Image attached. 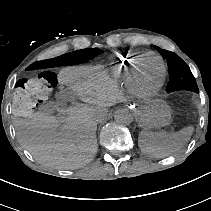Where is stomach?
Masks as SVG:
<instances>
[{
  "instance_id": "obj_1",
  "label": "stomach",
  "mask_w": 211,
  "mask_h": 211,
  "mask_svg": "<svg viewBox=\"0 0 211 211\" xmlns=\"http://www.w3.org/2000/svg\"><path fill=\"white\" fill-rule=\"evenodd\" d=\"M139 124L144 129H158L166 126L171 119V111L163 100H155L138 110Z\"/></svg>"
}]
</instances>
